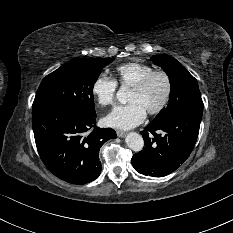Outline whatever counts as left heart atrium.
Segmentation results:
<instances>
[{
    "label": "left heart atrium",
    "instance_id": "obj_1",
    "mask_svg": "<svg viewBox=\"0 0 233 233\" xmlns=\"http://www.w3.org/2000/svg\"><path fill=\"white\" fill-rule=\"evenodd\" d=\"M147 111L137 102L114 107L104 118L107 126L131 129L144 121Z\"/></svg>",
    "mask_w": 233,
    "mask_h": 233
}]
</instances>
